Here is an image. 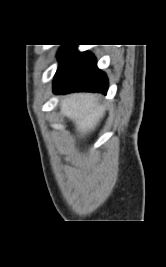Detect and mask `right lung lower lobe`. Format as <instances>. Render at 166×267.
<instances>
[{
  "instance_id": "98d812e1",
  "label": "right lung lower lobe",
  "mask_w": 166,
  "mask_h": 267,
  "mask_svg": "<svg viewBox=\"0 0 166 267\" xmlns=\"http://www.w3.org/2000/svg\"><path fill=\"white\" fill-rule=\"evenodd\" d=\"M58 56L59 66L53 82L55 94L99 92L106 94L108 79L96 65L90 52H78L76 45H63Z\"/></svg>"
}]
</instances>
